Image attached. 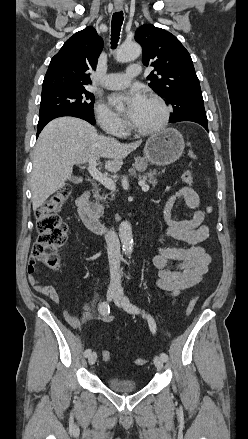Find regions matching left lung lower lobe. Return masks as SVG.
<instances>
[{"label": "left lung lower lobe", "instance_id": "left-lung-lower-lobe-1", "mask_svg": "<svg viewBox=\"0 0 248 439\" xmlns=\"http://www.w3.org/2000/svg\"><path fill=\"white\" fill-rule=\"evenodd\" d=\"M181 121H191V122L198 123V124L202 125L208 131L207 117L186 115V116L176 118L175 120H171L170 122L175 123V122H181Z\"/></svg>", "mask_w": 248, "mask_h": 439}]
</instances>
